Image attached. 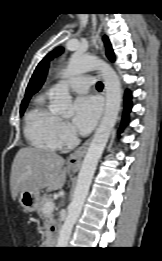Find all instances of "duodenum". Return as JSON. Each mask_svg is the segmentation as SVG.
<instances>
[{
    "mask_svg": "<svg viewBox=\"0 0 162 261\" xmlns=\"http://www.w3.org/2000/svg\"><path fill=\"white\" fill-rule=\"evenodd\" d=\"M56 240H57V236L55 233H50L48 235V244L49 245H55L56 244Z\"/></svg>",
    "mask_w": 162,
    "mask_h": 261,
    "instance_id": "1",
    "label": "duodenum"
}]
</instances>
